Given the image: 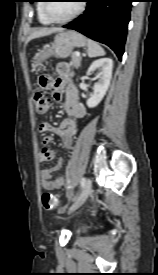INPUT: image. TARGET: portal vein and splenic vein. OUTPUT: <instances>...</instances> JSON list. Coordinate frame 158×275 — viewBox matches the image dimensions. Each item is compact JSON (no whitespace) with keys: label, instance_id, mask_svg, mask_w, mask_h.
<instances>
[{"label":"portal vein and splenic vein","instance_id":"1","mask_svg":"<svg viewBox=\"0 0 158 275\" xmlns=\"http://www.w3.org/2000/svg\"><path fill=\"white\" fill-rule=\"evenodd\" d=\"M75 54H76L77 56H80V53H79V52H76Z\"/></svg>","mask_w":158,"mask_h":275}]
</instances>
